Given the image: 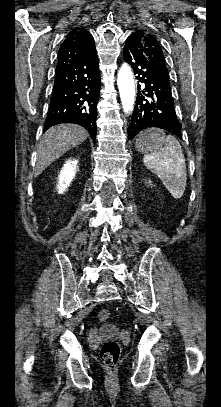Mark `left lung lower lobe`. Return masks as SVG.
Returning a JSON list of instances; mask_svg holds the SVG:
<instances>
[{"mask_svg":"<svg viewBox=\"0 0 221 407\" xmlns=\"http://www.w3.org/2000/svg\"><path fill=\"white\" fill-rule=\"evenodd\" d=\"M124 60L138 74V95L128 138L133 139L142 129L157 127L181 138V123L178 121L171 92L169 74L151 63L141 52L136 37L131 34L123 50Z\"/></svg>","mask_w":221,"mask_h":407,"instance_id":"left-lung-lower-lobe-1","label":"left lung lower lobe"}]
</instances>
